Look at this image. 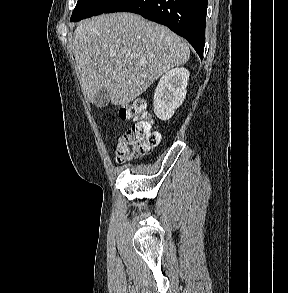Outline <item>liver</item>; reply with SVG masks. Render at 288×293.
Instances as JSON below:
<instances>
[{
	"instance_id": "liver-1",
	"label": "liver",
	"mask_w": 288,
	"mask_h": 293,
	"mask_svg": "<svg viewBox=\"0 0 288 293\" xmlns=\"http://www.w3.org/2000/svg\"><path fill=\"white\" fill-rule=\"evenodd\" d=\"M72 50L86 100L93 102L97 91L106 88L113 105L133 101L190 57L182 38L134 13L82 21L74 31Z\"/></svg>"
}]
</instances>
